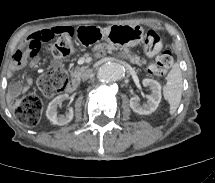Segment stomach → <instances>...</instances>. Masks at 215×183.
<instances>
[{
	"mask_svg": "<svg viewBox=\"0 0 215 183\" xmlns=\"http://www.w3.org/2000/svg\"><path fill=\"white\" fill-rule=\"evenodd\" d=\"M144 30L137 24H114L99 28L97 38L107 41L110 45L126 48L138 45L143 38Z\"/></svg>",
	"mask_w": 215,
	"mask_h": 183,
	"instance_id": "1",
	"label": "stomach"
}]
</instances>
